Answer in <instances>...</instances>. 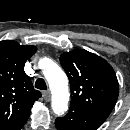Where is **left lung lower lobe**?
<instances>
[{
  "mask_svg": "<svg viewBox=\"0 0 130 130\" xmlns=\"http://www.w3.org/2000/svg\"><path fill=\"white\" fill-rule=\"evenodd\" d=\"M105 120L91 111L70 107L66 116L55 120V126L58 130H96Z\"/></svg>",
  "mask_w": 130,
  "mask_h": 130,
  "instance_id": "1",
  "label": "left lung lower lobe"
}]
</instances>
